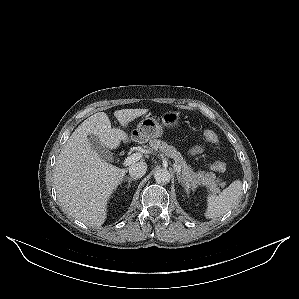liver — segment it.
Masks as SVG:
<instances>
[{"instance_id": "6515ba94", "label": "liver", "mask_w": 299, "mask_h": 299, "mask_svg": "<svg viewBox=\"0 0 299 299\" xmlns=\"http://www.w3.org/2000/svg\"><path fill=\"white\" fill-rule=\"evenodd\" d=\"M148 109H122L114 112L123 127ZM96 135L103 146L117 148L128 135L112 128L109 117L98 112L84 120L64 144L57 158L53 178L62 210L83 223L100 227L107 216V201L122 182L126 170L113 166L92 150L88 136Z\"/></svg>"}]
</instances>
